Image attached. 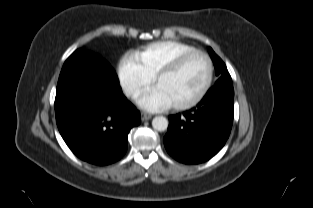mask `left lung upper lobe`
<instances>
[{
    "mask_svg": "<svg viewBox=\"0 0 313 208\" xmlns=\"http://www.w3.org/2000/svg\"><path fill=\"white\" fill-rule=\"evenodd\" d=\"M209 53L215 66V73L219 77L215 85L223 83L232 84L231 76L224 62L215 54L211 48H209Z\"/></svg>",
    "mask_w": 313,
    "mask_h": 208,
    "instance_id": "1",
    "label": "left lung upper lobe"
}]
</instances>
